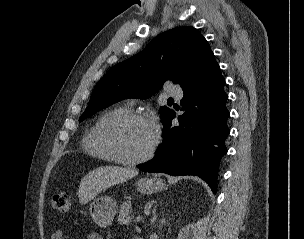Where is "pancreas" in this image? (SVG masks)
Instances as JSON below:
<instances>
[{
	"mask_svg": "<svg viewBox=\"0 0 304 239\" xmlns=\"http://www.w3.org/2000/svg\"><path fill=\"white\" fill-rule=\"evenodd\" d=\"M133 215L131 213V204L130 202H123L120 206L118 222L120 224L128 225L133 220Z\"/></svg>",
	"mask_w": 304,
	"mask_h": 239,
	"instance_id": "pancreas-1",
	"label": "pancreas"
}]
</instances>
